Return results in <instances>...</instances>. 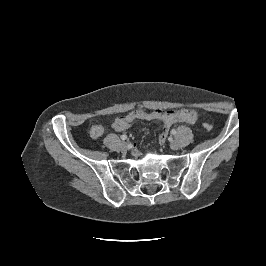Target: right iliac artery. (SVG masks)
Returning a JSON list of instances; mask_svg holds the SVG:
<instances>
[{"mask_svg": "<svg viewBox=\"0 0 266 266\" xmlns=\"http://www.w3.org/2000/svg\"><path fill=\"white\" fill-rule=\"evenodd\" d=\"M120 138H121L122 140H126V139H127V135H124V134H123V135L120 136Z\"/></svg>", "mask_w": 266, "mask_h": 266, "instance_id": "1", "label": "right iliac artery"}]
</instances>
